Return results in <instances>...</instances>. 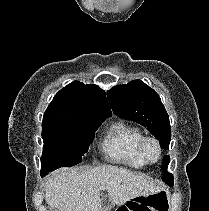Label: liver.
<instances>
[{
    "label": "liver",
    "instance_id": "obj_1",
    "mask_svg": "<svg viewBox=\"0 0 209 211\" xmlns=\"http://www.w3.org/2000/svg\"><path fill=\"white\" fill-rule=\"evenodd\" d=\"M45 201L58 211H103L100 192H108L113 205L161 190L149 178L117 166L62 168L46 177Z\"/></svg>",
    "mask_w": 209,
    "mask_h": 211
}]
</instances>
